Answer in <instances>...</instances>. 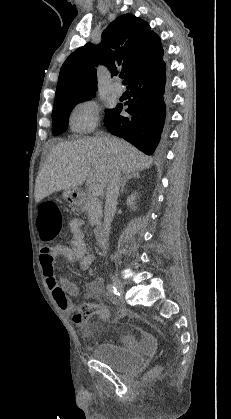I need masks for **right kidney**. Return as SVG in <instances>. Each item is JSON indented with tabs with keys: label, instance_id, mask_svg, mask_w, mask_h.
<instances>
[{
	"label": "right kidney",
	"instance_id": "obj_1",
	"mask_svg": "<svg viewBox=\"0 0 231 419\" xmlns=\"http://www.w3.org/2000/svg\"><path fill=\"white\" fill-rule=\"evenodd\" d=\"M136 197H137V193L135 192L134 194H131L128 198H127V201H126V203H127V206H129L133 211H135L136 210V206H135V200H136Z\"/></svg>",
	"mask_w": 231,
	"mask_h": 419
}]
</instances>
